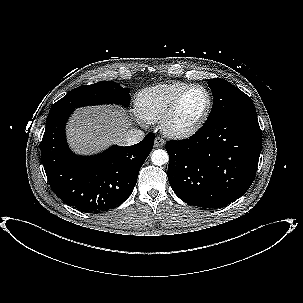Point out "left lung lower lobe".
Returning <instances> with one entry per match:
<instances>
[{
	"label": "left lung lower lobe",
	"mask_w": 303,
	"mask_h": 303,
	"mask_svg": "<svg viewBox=\"0 0 303 303\" xmlns=\"http://www.w3.org/2000/svg\"><path fill=\"white\" fill-rule=\"evenodd\" d=\"M261 147L256 111L206 121L189 139L166 143L169 183L189 205L223 207L251 186Z\"/></svg>",
	"instance_id": "0a47b994"
}]
</instances>
